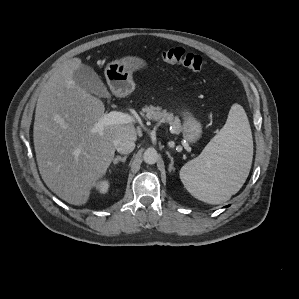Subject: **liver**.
<instances>
[{"label": "liver", "instance_id": "1", "mask_svg": "<svg viewBox=\"0 0 299 299\" xmlns=\"http://www.w3.org/2000/svg\"><path fill=\"white\" fill-rule=\"evenodd\" d=\"M81 65L80 58L69 59L48 79L37 100L33 130L44 183L59 198L78 206L87 203L92 188L106 174L117 144L137 140L133 123L92 131L105 107L74 82L73 72Z\"/></svg>", "mask_w": 299, "mask_h": 299}]
</instances>
